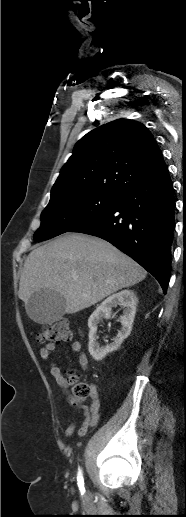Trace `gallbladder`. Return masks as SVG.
<instances>
[{
  "label": "gallbladder",
  "mask_w": 186,
  "mask_h": 517,
  "mask_svg": "<svg viewBox=\"0 0 186 517\" xmlns=\"http://www.w3.org/2000/svg\"><path fill=\"white\" fill-rule=\"evenodd\" d=\"M65 307L64 297L48 289L33 293L25 306L28 316L41 324H51L61 319L65 314Z\"/></svg>",
  "instance_id": "1"
}]
</instances>
